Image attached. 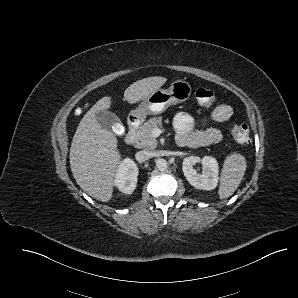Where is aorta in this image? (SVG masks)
<instances>
[{
    "label": "aorta",
    "mask_w": 298,
    "mask_h": 298,
    "mask_svg": "<svg viewBox=\"0 0 298 298\" xmlns=\"http://www.w3.org/2000/svg\"><path fill=\"white\" fill-rule=\"evenodd\" d=\"M155 164L159 171H165L168 168V161L164 158L157 159Z\"/></svg>",
    "instance_id": "obj_1"
}]
</instances>
